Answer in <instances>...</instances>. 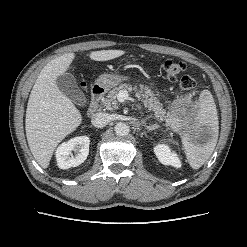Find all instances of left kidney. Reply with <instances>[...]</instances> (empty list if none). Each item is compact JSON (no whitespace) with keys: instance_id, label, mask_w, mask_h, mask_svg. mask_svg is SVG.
<instances>
[{"instance_id":"5707ae66","label":"left kidney","mask_w":247,"mask_h":247,"mask_svg":"<svg viewBox=\"0 0 247 247\" xmlns=\"http://www.w3.org/2000/svg\"><path fill=\"white\" fill-rule=\"evenodd\" d=\"M154 152L158 160L164 165H171L173 167H180L181 162L175 153H172L169 146L159 144L154 147Z\"/></svg>"}]
</instances>
